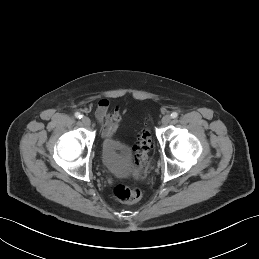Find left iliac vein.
<instances>
[{"label":"left iliac vein","instance_id":"4c4485c4","mask_svg":"<svg viewBox=\"0 0 259 259\" xmlns=\"http://www.w3.org/2000/svg\"><path fill=\"white\" fill-rule=\"evenodd\" d=\"M170 121H171V117L169 115L163 116V118H162L163 125H168L170 123Z\"/></svg>","mask_w":259,"mask_h":259}]
</instances>
